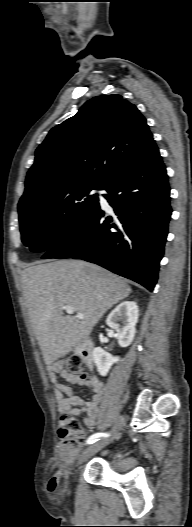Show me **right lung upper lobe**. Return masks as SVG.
I'll list each match as a JSON object with an SVG mask.
<instances>
[{
	"mask_svg": "<svg viewBox=\"0 0 192 527\" xmlns=\"http://www.w3.org/2000/svg\"><path fill=\"white\" fill-rule=\"evenodd\" d=\"M152 140L135 105L118 94L94 97L37 148L18 206L82 184L103 185Z\"/></svg>",
	"mask_w": 192,
	"mask_h": 527,
	"instance_id": "1",
	"label": "right lung upper lobe"
}]
</instances>
